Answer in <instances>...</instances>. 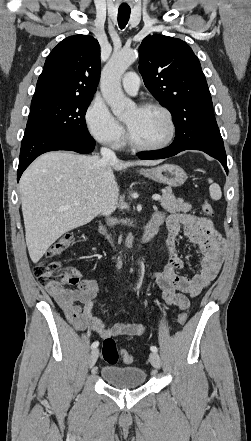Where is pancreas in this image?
<instances>
[{"mask_svg": "<svg viewBox=\"0 0 251 441\" xmlns=\"http://www.w3.org/2000/svg\"><path fill=\"white\" fill-rule=\"evenodd\" d=\"M161 206L169 213L189 212L192 206L189 203L184 202L183 199H176L172 193V189L165 188L161 197Z\"/></svg>", "mask_w": 251, "mask_h": 441, "instance_id": "pancreas-1", "label": "pancreas"}]
</instances>
